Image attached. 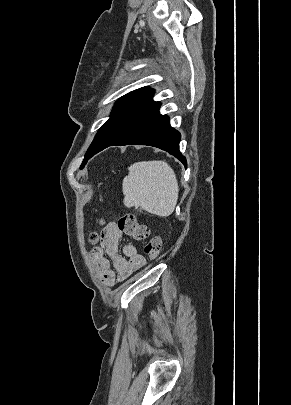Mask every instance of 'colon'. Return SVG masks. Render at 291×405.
I'll return each mask as SVG.
<instances>
[{
	"label": "colon",
	"mask_w": 291,
	"mask_h": 405,
	"mask_svg": "<svg viewBox=\"0 0 291 405\" xmlns=\"http://www.w3.org/2000/svg\"><path fill=\"white\" fill-rule=\"evenodd\" d=\"M117 227L126 235L136 240H146L150 237L149 228L140 223L132 213L122 215L117 222ZM98 240L99 237L96 233L90 235V242L92 244H96ZM161 248V239L157 236H153L145 244L144 253L150 261H154L159 257Z\"/></svg>",
	"instance_id": "5ec220e1"
}]
</instances>
